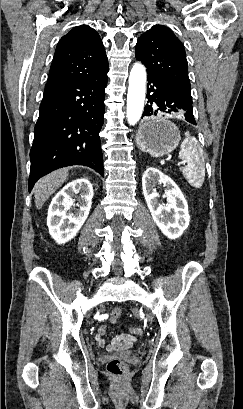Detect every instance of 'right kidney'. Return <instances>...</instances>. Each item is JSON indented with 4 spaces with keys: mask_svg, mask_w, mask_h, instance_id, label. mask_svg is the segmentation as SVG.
<instances>
[{
    "mask_svg": "<svg viewBox=\"0 0 243 409\" xmlns=\"http://www.w3.org/2000/svg\"><path fill=\"white\" fill-rule=\"evenodd\" d=\"M77 194L80 197L75 204L73 197ZM92 197V184L84 178L69 182L55 195L48 209L47 226L57 243H66L78 233L88 217Z\"/></svg>",
    "mask_w": 243,
    "mask_h": 409,
    "instance_id": "1",
    "label": "right kidney"
}]
</instances>
